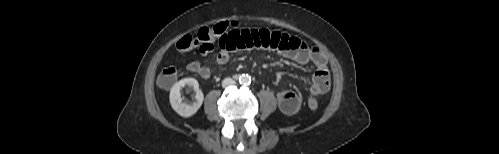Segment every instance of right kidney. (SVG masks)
Here are the masks:
<instances>
[{
    "instance_id": "ca27d5eb",
    "label": "right kidney",
    "mask_w": 499,
    "mask_h": 154,
    "mask_svg": "<svg viewBox=\"0 0 499 154\" xmlns=\"http://www.w3.org/2000/svg\"><path fill=\"white\" fill-rule=\"evenodd\" d=\"M185 85L191 86L196 92V96H195L196 100L191 105H187V104L182 102L180 90ZM169 99H170V104L175 112H177L182 117H190V116L194 115L201 107L203 100H204V95H203V92L199 89V84H198V81L196 79L184 78V79H181L180 81H178L171 88Z\"/></svg>"
}]
</instances>
